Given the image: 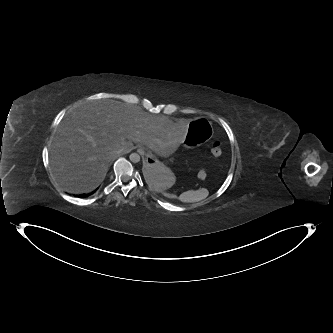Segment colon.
<instances>
[{"mask_svg": "<svg viewBox=\"0 0 333 333\" xmlns=\"http://www.w3.org/2000/svg\"><path fill=\"white\" fill-rule=\"evenodd\" d=\"M211 154L213 157L215 158H218L221 156L222 154V150H221V143L219 141H215L213 144H212V147H211ZM199 176L201 178H204L205 177V172L204 171H200L199 172Z\"/></svg>", "mask_w": 333, "mask_h": 333, "instance_id": "colon-1", "label": "colon"}]
</instances>
